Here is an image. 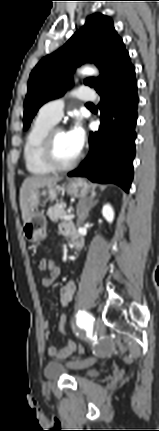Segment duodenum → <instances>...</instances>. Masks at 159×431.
Returning a JSON list of instances; mask_svg holds the SVG:
<instances>
[{
    "label": "duodenum",
    "instance_id": "duodenum-1",
    "mask_svg": "<svg viewBox=\"0 0 159 431\" xmlns=\"http://www.w3.org/2000/svg\"><path fill=\"white\" fill-rule=\"evenodd\" d=\"M70 237H71V241H72V245L74 248H79L82 244L81 239L75 234L74 231H72L70 233Z\"/></svg>",
    "mask_w": 159,
    "mask_h": 431
}]
</instances>
